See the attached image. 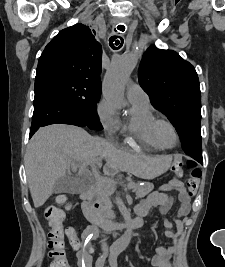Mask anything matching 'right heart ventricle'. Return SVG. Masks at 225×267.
I'll return each mask as SVG.
<instances>
[{
  "instance_id": "1",
  "label": "right heart ventricle",
  "mask_w": 225,
  "mask_h": 267,
  "mask_svg": "<svg viewBox=\"0 0 225 267\" xmlns=\"http://www.w3.org/2000/svg\"><path fill=\"white\" fill-rule=\"evenodd\" d=\"M130 103L131 109L123 124L124 130L135 135L147 146L161 149L153 132V122L157 116L149 100H130Z\"/></svg>"
}]
</instances>
